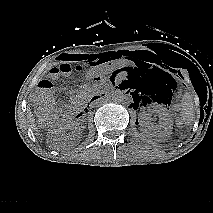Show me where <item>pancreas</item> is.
<instances>
[{
	"label": "pancreas",
	"instance_id": "pancreas-1",
	"mask_svg": "<svg viewBox=\"0 0 213 213\" xmlns=\"http://www.w3.org/2000/svg\"><path fill=\"white\" fill-rule=\"evenodd\" d=\"M89 91H92V90L87 88V87H85V90L83 92V95H84L85 98H89L90 97Z\"/></svg>",
	"mask_w": 213,
	"mask_h": 213
}]
</instances>
